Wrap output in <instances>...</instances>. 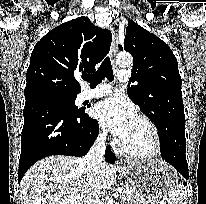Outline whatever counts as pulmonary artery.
Masks as SVG:
<instances>
[{"instance_id": "1", "label": "pulmonary artery", "mask_w": 206, "mask_h": 204, "mask_svg": "<svg viewBox=\"0 0 206 204\" xmlns=\"http://www.w3.org/2000/svg\"><path fill=\"white\" fill-rule=\"evenodd\" d=\"M118 78L122 82H126L129 78V72L126 70L119 71ZM112 87L108 84L99 85L94 89L86 90L83 93V99H92L96 97H101L107 95L111 92Z\"/></svg>"}]
</instances>
